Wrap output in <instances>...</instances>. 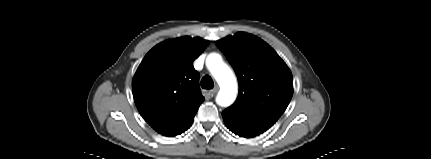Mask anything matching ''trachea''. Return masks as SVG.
<instances>
[{
    "label": "trachea",
    "mask_w": 431,
    "mask_h": 159,
    "mask_svg": "<svg viewBox=\"0 0 431 159\" xmlns=\"http://www.w3.org/2000/svg\"><path fill=\"white\" fill-rule=\"evenodd\" d=\"M201 87L203 89H212L214 87L212 78L208 75L204 76L201 80Z\"/></svg>",
    "instance_id": "3493384b"
}]
</instances>
